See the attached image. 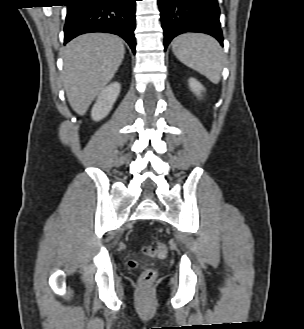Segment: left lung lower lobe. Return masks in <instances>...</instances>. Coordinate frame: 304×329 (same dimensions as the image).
<instances>
[{"instance_id": "1", "label": "left lung lower lobe", "mask_w": 304, "mask_h": 329, "mask_svg": "<svg viewBox=\"0 0 304 329\" xmlns=\"http://www.w3.org/2000/svg\"><path fill=\"white\" fill-rule=\"evenodd\" d=\"M165 50L171 40L185 32H201L223 44L217 0H158Z\"/></svg>"}]
</instances>
